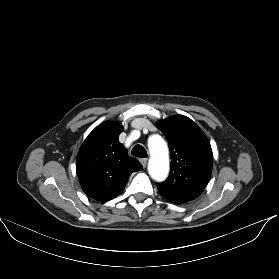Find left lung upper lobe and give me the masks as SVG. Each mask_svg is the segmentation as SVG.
<instances>
[{
    "mask_svg": "<svg viewBox=\"0 0 279 279\" xmlns=\"http://www.w3.org/2000/svg\"><path fill=\"white\" fill-rule=\"evenodd\" d=\"M156 126L165 135L171 155L169 177L157 183L159 193L175 204L194 200L211 176L213 154L209 140L195 122L183 115L160 120Z\"/></svg>",
    "mask_w": 279,
    "mask_h": 279,
    "instance_id": "left-lung-upper-lobe-1",
    "label": "left lung upper lobe"
}]
</instances>
